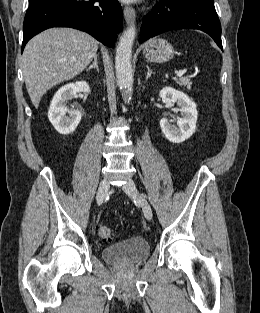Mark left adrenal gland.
Masks as SVG:
<instances>
[{
    "mask_svg": "<svg viewBox=\"0 0 260 313\" xmlns=\"http://www.w3.org/2000/svg\"><path fill=\"white\" fill-rule=\"evenodd\" d=\"M147 76H146V80H148L152 74H154V72L149 68V66L147 65Z\"/></svg>",
    "mask_w": 260,
    "mask_h": 313,
    "instance_id": "left-adrenal-gland-1",
    "label": "left adrenal gland"
}]
</instances>
